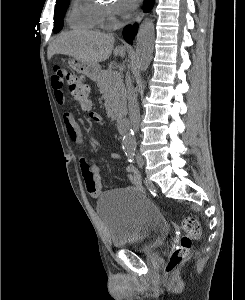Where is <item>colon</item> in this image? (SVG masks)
<instances>
[{"instance_id":"colon-1","label":"colon","mask_w":245,"mask_h":300,"mask_svg":"<svg viewBox=\"0 0 245 300\" xmlns=\"http://www.w3.org/2000/svg\"><path fill=\"white\" fill-rule=\"evenodd\" d=\"M54 74L66 81L73 99L80 108L85 111L89 110L91 107L90 91L82 78L60 66L54 67ZM182 229L184 235L180 244L173 251L166 264L165 271L167 273H172L182 263L192 246L193 240L197 239L201 234L200 223L195 217L184 218L182 220Z\"/></svg>"}]
</instances>
